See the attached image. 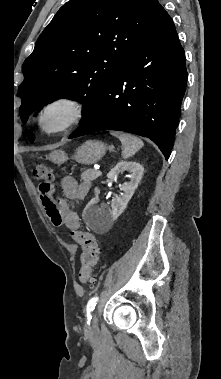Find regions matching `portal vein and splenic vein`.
Returning a JSON list of instances; mask_svg holds the SVG:
<instances>
[{
  "mask_svg": "<svg viewBox=\"0 0 221 379\" xmlns=\"http://www.w3.org/2000/svg\"><path fill=\"white\" fill-rule=\"evenodd\" d=\"M94 169H95L96 171H99L100 167H99V166H94ZM99 172H100V171H99Z\"/></svg>",
  "mask_w": 221,
  "mask_h": 379,
  "instance_id": "18ae733b",
  "label": "portal vein and splenic vein"
}]
</instances>
